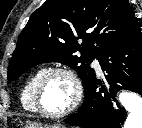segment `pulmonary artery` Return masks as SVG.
<instances>
[{
	"instance_id": "e3ab8cb5",
	"label": "pulmonary artery",
	"mask_w": 142,
	"mask_h": 128,
	"mask_svg": "<svg viewBox=\"0 0 142 128\" xmlns=\"http://www.w3.org/2000/svg\"><path fill=\"white\" fill-rule=\"evenodd\" d=\"M93 66H94V68L96 69V71H97L98 73L101 72V67H100L99 61H98L97 59H94V60H93Z\"/></svg>"
}]
</instances>
